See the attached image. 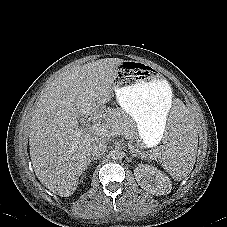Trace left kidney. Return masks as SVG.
<instances>
[{"instance_id": "left-kidney-1", "label": "left kidney", "mask_w": 227, "mask_h": 227, "mask_svg": "<svg viewBox=\"0 0 227 227\" xmlns=\"http://www.w3.org/2000/svg\"><path fill=\"white\" fill-rule=\"evenodd\" d=\"M139 186L153 195H166L171 192L170 178L157 168L150 165H139L134 170Z\"/></svg>"}]
</instances>
